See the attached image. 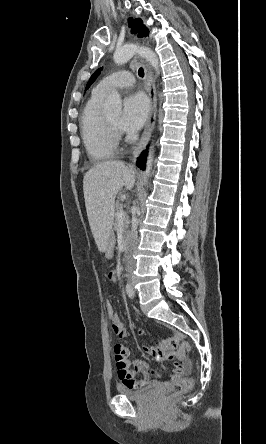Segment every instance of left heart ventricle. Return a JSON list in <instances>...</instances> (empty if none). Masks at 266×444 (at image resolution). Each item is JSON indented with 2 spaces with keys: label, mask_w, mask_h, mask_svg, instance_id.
I'll return each instance as SVG.
<instances>
[{
  "label": "left heart ventricle",
  "mask_w": 266,
  "mask_h": 444,
  "mask_svg": "<svg viewBox=\"0 0 266 444\" xmlns=\"http://www.w3.org/2000/svg\"><path fill=\"white\" fill-rule=\"evenodd\" d=\"M108 120L114 124L115 126L119 127V121H120V116L119 115H112V116H107Z\"/></svg>",
  "instance_id": "obj_1"
}]
</instances>
